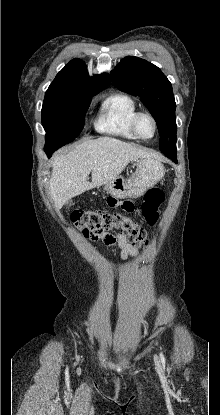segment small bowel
Returning <instances> with one entry per match:
<instances>
[{
    "mask_svg": "<svg viewBox=\"0 0 220 415\" xmlns=\"http://www.w3.org/2000/svg\"><path fill=\"white\" fill-rule=\"evenodd\" d=\"M126 211H131V209ZM83 235L93 242L103 241L108 246L117 247L124 255L134 251L133 247L129 244L127 237L122 232H117L116 234L104 232L101 235H98L91 231L86 232L83 230Z\"/></svg>",
    "mask_w": 220,
    "mask_h": 415,
    "instance_id": "1",
    "label": "small bowel"
}]
</instances>
